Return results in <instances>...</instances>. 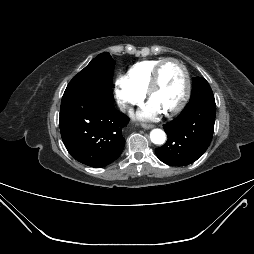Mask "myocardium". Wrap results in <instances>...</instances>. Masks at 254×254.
I'll return each instance as SVG.
<instances>
[{"label": "myocardium", "instance_id": "obj_1", "mask_svg": "<svg viewBox=\"0 0 254 254\" xmlns=\"http://www.w3.org/2000/svg\"><path fill=\"white\" fill-rule=\"evenodd\" d=\"M169 62L176 63L181 68V70L183 72V76H184V90H183V94H182L180 101L171 110L165 112V114L167 116H173V115L177 114L178 112H180L185 107V105L189 99L190 91H191V81H190L189 71H188L186 65L181 60H179L177 58H173V57H168V58L163 59L156 66V68L153 72L150 84L146 90V96L148 99L151 98L152 94L154 93V91L157 89V87L159 85L161 71H162L163 67Z\"/></svg>", "mask_w": 254, "mask_h": 254}]
</instances>
